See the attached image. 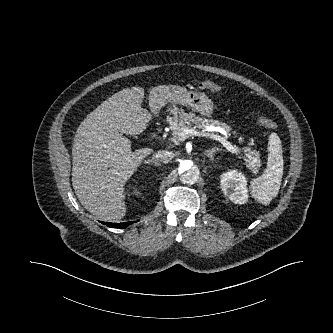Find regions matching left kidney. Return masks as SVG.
Instances as JSON below:
<instances>
[{
    "instance_id": "5707ae66",
    "label": "left kidney",
    "mask_w": 333,
    "mask_h": 333,
    "mask_svg": "<svg viewBox=\"0 0 333 333\" xmlns=\"http://www.w3.org/2000/svg\"><path fill=\"white\" fill-rule=\"evenodd\" d=\"M246 178L243 173L231 170L221 177V186L226 195L235 204H245L248 201Z\"/></svg>"
}]
</instances>
